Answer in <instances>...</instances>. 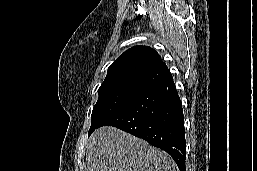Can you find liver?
I'll list each match as a JSON object with an SVG mask.
<instances>
[{"instance_id":"obj_1","label":"liver","mask_w":257,"mask_h":171,"mask_svg":"<svg viewBox=\"0 0 257 171\" xmlns=\"http://www.w3.org/2000/svg\"><path fill=\"white\" fill-rule=\"evenodd\" d=\"M86 162L87 171H179L166 152L110 126L91 135Z\"/></svg>"}]
</instances>
